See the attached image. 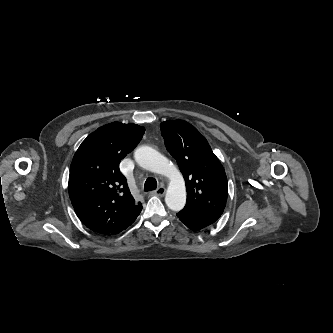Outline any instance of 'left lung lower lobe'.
<instances>
[{"label": "left lung lower lobe", "instance_id": "left-lung-lower-lobe-1", "mask_svg": "<svg viewBox=\"0 0 333 333\" xmlns=\"http://www.w3.org/2000/svg\"><path fill=\"white\" fill-rule=\"evenodd\" d=\"M176 215L184 225L193 231L206 228L207 226L217 221L220 217L215 214L200 212L186 206Z\"/></svg>", "mask_w": 333, "mask_h": 333}]
</instances>
